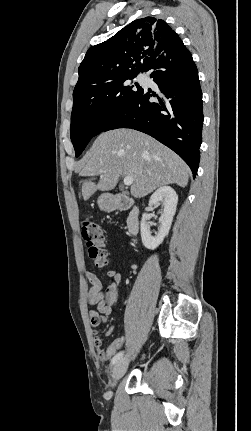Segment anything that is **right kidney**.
<instances>
[{
	"label": "right kidney",
	"mask_w": 251,
	"mask_h": 431,
	"mask_svg": "<svg viewBox=\"0 0 251 431\" xmlns=\"http://www.w3.org/2000/svg\"><path fill=\"white\" fill-rule=\"evenodd\" d=\"M162 202L163 213L160 217L161 226L157 236L153 237L150 228L146 224V220L150 217L149 214L143 213L141 218V239L143 245L150 250L156 249L168 235L176 212L178 196L170 186H162L158 188L150 197L149 206Z\"/></svg>",
	"instance_id": "right-kidney-1"
}]
</instances>
